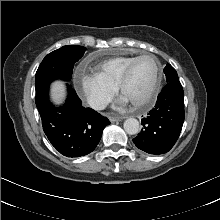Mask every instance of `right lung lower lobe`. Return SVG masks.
<instances>
[{
    "label": "right lung lower lobe",
    "mask_w": 220,
    "mask_h": 220,
    "mask_svg": "<svg viewBox=\"0 0 220 220\" xmlns=\"http://www.w3.org/2000/svg\"><path fill=\"white\" fill-rule=\"evenodd\" d=\"M49 87L36 93L35 102L43 130L58 152L66 157H79L92 152L99 143L109 120L91 108H84L75 90L68 85V98L63 106L49 101Z\"/></svg>",
    "instance_id": "obj_1"
}]
</instances>
